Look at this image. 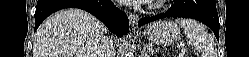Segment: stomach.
Returning <instances> with one entry per match:
<instances>
[{"mask_svg":"<svg viewBox=\"0 0 249 57\" xmlns=\"http://www.w3.org/2000/svg\"><path fill=\"white\" fill-rule=\"evenodd\" d=\"M147 39L160 45H171L180 38V27L173 21H156L146 30Z\"/></svg>","mask_w":249,"mask_h":57,"instance_id":"obj_1","label":"stomach"}]
</instances>
